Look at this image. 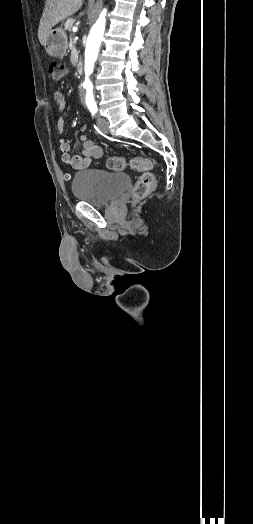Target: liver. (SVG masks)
<instances>
[{"instance_id":"1","label":"liver","mask_w":253,"mask_h":524,"mask_svg":"<svg viewBox=\"0 0 253 524\" xmlns=\"http://www.w3.org/2000/svg\"><path fill=\"white\" fill-rule=\"evenodd\" d=\"M83 0H47L38 28V38L45 46L50 30L68 16L77 12Z\"/></svg>"}]
</instances>
